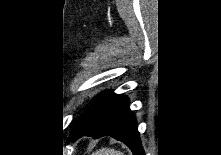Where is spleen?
Listing matches in <instances>:
<instances>
[{
    "mask_svg": "<svg viewBox=\"0 0 221 155\" xmlns=\"http://www.w3.org/2000/svg\"><path fill=\"white\" fill-rule=\"evenodd\" d=\"M93 155H124V154L113 148H102L96 151L95 153H93Z\"/></svg>",
    "mask_w": 221,
    "mask_h": 155,
    "instance_id": "3e777b00",
    "label": "spleen"
}]
</instances>
